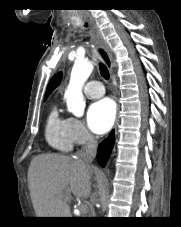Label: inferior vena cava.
Returning a JSON list of instances; mask_svg holds the SVG:
<instances>
[{
    "instance_id": "obj_1",
    "label": "inferior vena cava",
    "mask_w": 181,
    "mask_h": 227,
    "mask_svg": "<svg viewBox=\"0 0 181 227\" xmlns=\"http://www.w3.org/2000/svg\"><path fill=\"white\" fill-rule=\"evenodd\" d=\"M97 152V140L88 134L87 142L77 152V157L89 165L95 158Z\"/></svg>"
}]
</instances>
